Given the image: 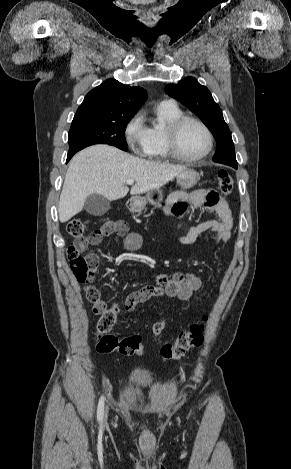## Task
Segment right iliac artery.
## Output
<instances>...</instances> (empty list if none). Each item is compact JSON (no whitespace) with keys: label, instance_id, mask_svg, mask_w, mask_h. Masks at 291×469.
<instances>
[{"label":"right iliac artery","instance_id":"obj_1","mask_svg":"<svg viewBox=\"0 0 291 469\" xmlns=\"http://www.w3.org/2000/svg\"><path fill=\"white\" fill-rule=\"evenodd\" d=\"M103 412H104V396L100 398L98 407H97V419L99 422H102L103 420Z\"/></svg>","mask_w":291,"mask_h":469}]
</instances>
